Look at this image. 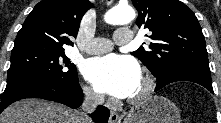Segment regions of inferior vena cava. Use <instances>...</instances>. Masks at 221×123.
<instances>
[{
	"mask_svg": "<svg viewBox=\"0 0 221 123\" xmlns=\"http://www.w3.org/2000/svg\"><path fill=\"white\" fill-rule=\"evenodd\" d=\"M85 99L81 106L82 112L80 113L81 123H91V119L88 114L96 110L99 104L104 102V96L102 94H97L89 90L84 89Z\"/></svg>",
	"mask_w": 221,
	"mask_h": 123,
	"instance_id": "inferior-vena-cava-1",
	"label": "inferior vena cava"
}]
</instances>
